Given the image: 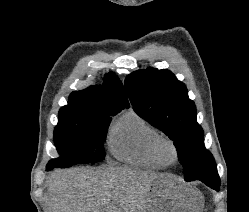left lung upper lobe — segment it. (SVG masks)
<instances>
[{"mask_svg":"<svg viewBox=\"0 0 249 212\" xmlns=\"http://www.w3.org/2000/svg\"><path fill=\"white\" fill-rule=\"evenodd\" d=\"M125 88L135 112L174 141L184 179L219 177L184 83L168 70L148 68L128 75Z\"/></svg>","mask_w":249,"mask_h":212,"instance_id":"5c2ea615","label":"left lung upper lobe"}]
</instances>
